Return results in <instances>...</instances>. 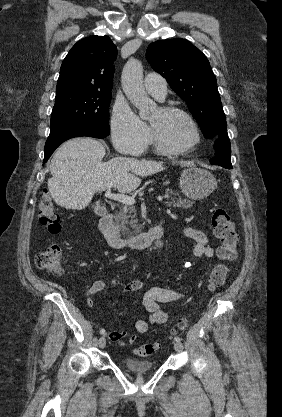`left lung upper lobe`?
<instances>
[{"label":"left lung upper lobe","instance_id":"obj_1","mask_svg":"<svg viewBox=\"0 0 282 417\" xmlns=\"http://www.w3.org/2000/svg\"><path fill=\"white\" fill-rule=\"evenodd\" d=\"M146 58L187 102L206 138L227 132L216 77L199 49L182 38L156 41L148 46Z\"/></svg>","mask_w":282,"mask_h":417}]
</instances>
